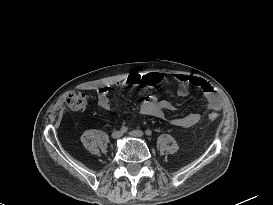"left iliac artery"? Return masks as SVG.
Segmentation results:
<instances>
[{
    "mask_svg": "<svg viewBox=\"0 0 273 205\" xmlns=\"http://www.w3.org/2000/svg\"><path fill=\"white\" fill-rule=\"evenodd\" d=\"M145 133L147 136H152V131L150 129H147Z\"/></svg>",
    "mask_w": 273,
    "mask_h": 205,
    "instance_id": "1",
    "label": "left iliac artery"
}]
</instances>
